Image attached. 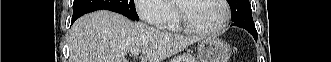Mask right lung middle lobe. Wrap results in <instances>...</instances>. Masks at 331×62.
<instances>
[{
	"mask_svg": "<svg viewBox=\"0 0 331 62\" xmlns=\"http://www.w3.org/2000/svg\"><path fill=\"white\" fill-rule=\"evenodd\" d=\"M101 9L120 13L131 20L139 19L134 0H74L73 17Z\"/></svg>",
	"mask_w": 331,
	"mask_h": 62,
	"instance_id": "right-lung-middle-lobe-1",
	"label": "right lung middle lobe"
}]
</instances>
